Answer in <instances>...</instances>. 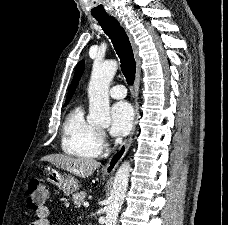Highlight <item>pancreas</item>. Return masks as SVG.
I'll return each mask as SVG.
<instances>
[{"label": "pancreas", "mask_w": 228, "mask_h": 225, "mask_svg": "<svg viewBox=\"0 0 228 225\" xmlns=\"http://www.w3.org/2000/svg\"><path fill=\"white\" fill-rule=\"evenodd\" d=\"M86 197V191H80V193H75L72 197L73 205H77V207H81L82 203H84V199Z\"/></svg>", "instance_id": "1"}]
</instances>
